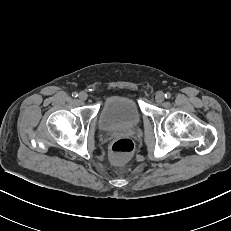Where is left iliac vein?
<instances>
[{
    "mask_svg": "<svg viewBox=\"0 0 231 231\" xmlns=\"http://www.w3.org/2000/svg\"><path fill=\"white\" fill-rule=\"evenodd\" d=\"M165 99V96L162 92H157L156 95H155V100L156 102L158 103H162Z\"/></svg>",
    "mask_w": 231,
    "mask_h": 231,
    "instance_id": "obj_1",
    "label": "left iliac vein"
}]
</instances>
